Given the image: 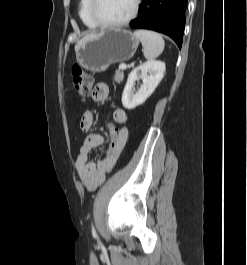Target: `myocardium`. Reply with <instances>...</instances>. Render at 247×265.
I'll return each mask as SVG.
<instances>
[{
  "mask_svg": "<svg viewBox=\"0 0 247 265\" xmlns=\"http://www.w3.org/2000/svg\"><path fill=\"white\" fill-rule=\"evenodd\" d=\"M141 2L142 0H134L133 10L129 14V16L126 17L125 19L117 21V22H105L97 14L96 8H97L98 0H90V7H89L90 15L93 21L99 27L107 28V29L119 28V27H122V26H125L131 23L137 17L139 10H140Z\"/></svg>",
  "mask_w": 247,
  "mask_h": 265,
  "instance_id": "1",
  "label": "myocardium"
}]
</instances>
